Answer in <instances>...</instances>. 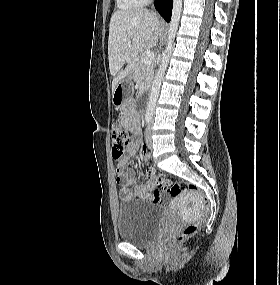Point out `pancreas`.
Returning <instances> with one entry per match:
<instances>
[{"label":"pancreas","mask_w":280,"mask_h":285,"mask_svg":"<svg viewBox=\"0 0 280 285\" xmlns=\"http://www.w3.org/2000/svg\"><path fill=\"white\" fill-rule=\"evenodd\" d=\"M143 57H139L135 63L134 69H133V77L134 81L141 86V83L143 82L142 90L146 91L149 89L153 76H154V68L155 64H144L142 62Z\"/></svg>","instance_id":"pancreas-1"}]
</instances>
